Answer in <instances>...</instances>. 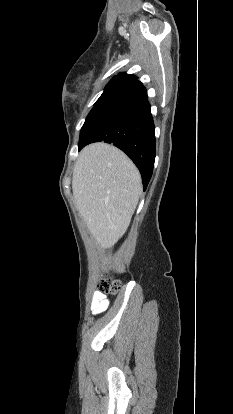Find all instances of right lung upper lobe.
I'll list each match as a JSON object with an SVG mask.
<instances>
[{
	"label": "right lung upper lobe",
	"mask_w": 233,
	"mask_h": 414,
	"mask_svg": "<svg viewBox=\"0 0 233 414\" xmlns=\"http://www.w3.org/2000/svg\"><path fill=\"white\" fill-rule=\"evenodd\" d=\"M115 77H120V78H123V79H126V80H131L133 82L137 81V78L134 75H127L125 73H123L121 75H118V76H115Z\"/></svg>",
	"instance_id": "obj_1"
}]
</instances>
